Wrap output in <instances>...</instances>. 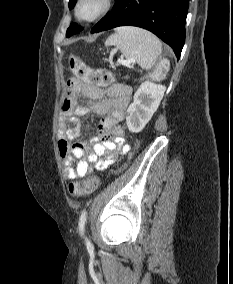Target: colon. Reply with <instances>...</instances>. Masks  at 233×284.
I'll list each match as a JSON object with an SVG mask.
<instances>
[{
    "mask_svg": "<svg viewBox=\"0 0 233 284\" xmlns=\"http://www.w3.org/2000/svg\"><path fill=\"white\" fill-rule=\"evenodd\" d=\"M70 67L73 74L80 80L97 86H108L114 81V75L107 69H92L76 56L70 57ZM170 69V61L163 58L157 64L153 79L163 80ZM99 186L96 176H87L81 181L70 183L68 191L72 196H82L93 193Z\"/></svg>",
    "mask_w": 233,
    "mask_h": 284,
    "instance_id": "5ec220e1",
    "label": "colon"
}]
</instances>
